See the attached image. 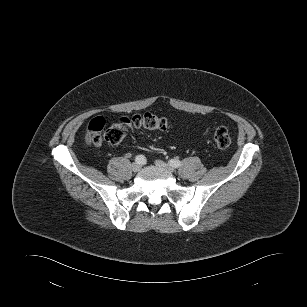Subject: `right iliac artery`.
<instances>
[{"mask_svg": "<svg viewBox=\"0 0 307 307\" xmlns=\"http://www.w3.org/2000/svg\"><path fill=\"white\" fill-rule=\"evenodd\" d=\"M135 161L137 163L144 164L146 159H145V157L143 155H138V156H136Z\"/></svg>", "mask_w": 307, "mask_h": 307, "instance_id": "1", "label": "right iliac artery"}]
</instances>
